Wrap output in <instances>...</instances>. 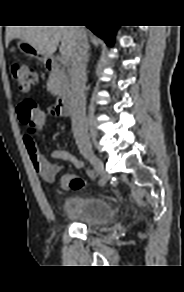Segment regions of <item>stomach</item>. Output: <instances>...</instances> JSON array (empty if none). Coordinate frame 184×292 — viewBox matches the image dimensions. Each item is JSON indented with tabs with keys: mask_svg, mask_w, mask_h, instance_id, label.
Returning a JSON list of instances; mask_svg holds the SVG:
<instances>
[{
	"mask_svg": "<svg viewBox=\"0 0 184 292\" xmlns=\"http://www.w3.org/2000/svg\"><path fill=\"white\" fill-rule=\"evenodd\" d=\"M17 47L23 54L33 57L44 64H46L50 58L24 40H19L17 42Z\"/></svg>",
	"mask_w": 184,
	"mask_h": 292,
	"instance_id": "0dacf381",
	"label": "stomach"
}]
</instances>
